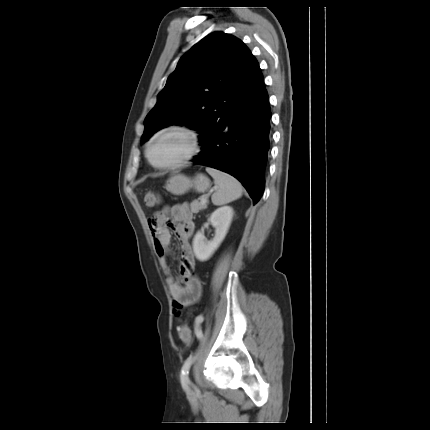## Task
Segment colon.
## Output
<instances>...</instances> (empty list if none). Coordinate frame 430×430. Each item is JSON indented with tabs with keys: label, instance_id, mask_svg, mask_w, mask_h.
<instances>
[{
	"label": "colon",
	"instance_id": "5ec220e1",
	"mask_svg": "<svg viewBox=\"0 0 430 430\" xmlns=\"http://www.w3.org/2000/svg\"><path fill=\"white\" fill-rule=\"evenodd\" d=\"M159 200L160 198L158 194L154 192H149L145 195V204L148 207H154L159 202ZM199 328L200 326L196 324L194 330L197 331L199 330ZM179 337L184 344H187V345L190 344L193 339L191 329L189 327L182 328L179 333Z\"/></svg>",
	"mask_w": 430,
	"mask_h": 430
}]
</instances>
